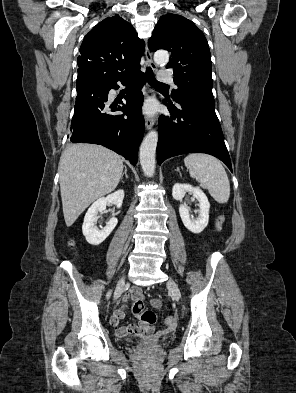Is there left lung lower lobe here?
Segmentation results:
<instances>
[{"label":"left lung lower lobe","mask_w":296,"mask_h":393,"mask_svg":"<svg viewBox=\"0 0 296 393\" xmlns=\"http://www.w3.org/2000/svg\"><path fill=\"white\" fill-rule=\"evenodd\" d=\"M169 103L171 117L160 116L157 161L186 153H207L223 161L232 171L224 136L215 113L214 97L189 94Z\"/></svg>","instance_id":"left-lung-lower-lobe-1"}]
</instances>
